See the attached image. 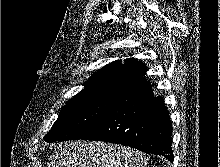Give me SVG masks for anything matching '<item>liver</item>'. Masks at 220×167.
I'll return each mask as SVG.
<instances>
[{
    "label": "liver",
    "instance_id": "1",
    "mask_svg": "<svg viewBox=\"0 0 220 167\" xmlns=\"http://www.w3.org/2000/svg\"><path fill=\"white\" fill-rule=\"evenodd\" d=\"M47 167H145V154L120 145L96 141L61 142Z\"/></svg>",
    "mask_w": 220,
    "mask_h": 167
}]
</instances>
